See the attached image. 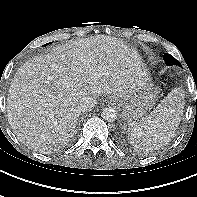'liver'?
I'll list each match as a JSON object with an SVG mask.
<instances>
[{
	"mask_svg": "<svg viewBox=\"0 0 197 197\" xmlns=\"http://www.w3.org/2000/svg\"><path fill=\"white\" fill-rule=\"evenodd\" d=\"M147 80L139 53L123 41L76 39L20 66L9 88L8 122L21 143L49 154L73 137L82 98H124Z\"/></svg>",
	"mask_w": 197,
	"mask_h": 197,
	"instance_id": "obj_1",
	"label": "liver"
}]
</instances>
